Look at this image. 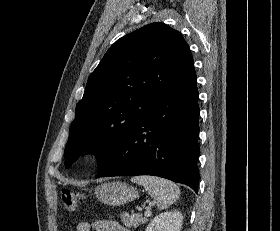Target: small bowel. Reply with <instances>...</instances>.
<instances>
[{
    "mask_svg": "<svg viewBox=\"0 0 280 231\" xmlns=\"http://www.w3.org/2000/svg\"><path fill=\"white\" fill-rule=\"evenodd\" d=\"M77 231H125V229L115 221L97 220L92 223L80 221L77 224Z\"/></svg>",
    "mask_w": 280,
    "mask_h": 231,
    "instance_id": "obj_1",
    "label": "small bowel"
}]
</instances>
